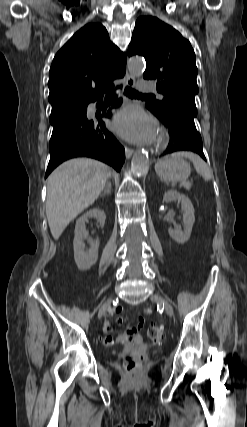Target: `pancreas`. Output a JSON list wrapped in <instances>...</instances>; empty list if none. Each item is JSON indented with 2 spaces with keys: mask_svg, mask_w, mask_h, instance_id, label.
Wrapping results in <instances>:
<instances>
[{
  "mask_svg": "<svg viewBox=\"0 0 247 427\" xmlns=\"http://www.w3.org/2000/svg\"><path fill=\"white\" fill-rule=\"evenodd\" d=\"M187 187H189V185L188 184H185Z\"/></svg>",
  "mask_w": 247,
  "mask_h": 427,
  "instance_id": "1",
  "label": "pancreas"
}]
</instances>
